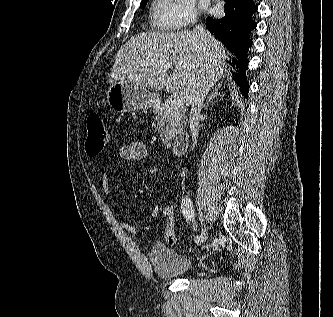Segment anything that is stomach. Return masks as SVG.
Masks as SVG:
<instances>
[{
    "instance_id": "obj_1",
    "label": "stomach",
    "mask_w": 333,
    "mask_h": 317,
    "mask_svg": "<svg viewBox=\"0 0 333 317\" xmlns=\"http://www.w3.org/2000/svg\"><path fill=\"white\" fill-rule=\"evenodd\" d=\"M107 100L112 109L118 112L144 110L156 102L155 97L145 88L128 79L112 83Z\"/></svg>"
}]
</instances>
